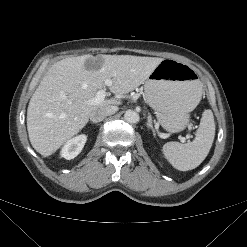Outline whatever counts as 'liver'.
<instances>
[{"label":"liver","mask_w":247,"mask_h":247,"mask_svg":"<svg viewBox=\"0 0 247 247\" xmlns=\"http://www.w3.org/2000/svg\"><path fill=\"white\" fill-rule=\"evenodd\" d=\"M162 60L87 54L54 63L28 105L27 130L31 145L44 157L52 155L85 127L93 111L122 103L113 98L100 104L90 103L107 80L111 81L108 87L112 93H129L143 84ZM94 61L99 63L93 65Z\"/></svg>","instance_id":"obj_1"}]
</instances>
